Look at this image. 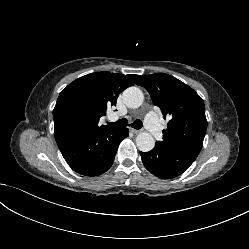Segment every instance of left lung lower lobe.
Listing matches in <instances>:
<instances>
[{"label": "left lung lower lobe", "mask_w": 249, "mask_h": 249, "mask_svg": "<svg viewBox=\"0 0 249 249\" xmlns=\"http://www.w3.org/2000/svg\"><path fill=\"white\" fill-rule=\"evenodd\" d=\"M145 168L155 176L171 179L181 175L197 158L198 154L182 149L156 146L149 152H140Z\"/></svg>", "instance_id": "left-lung-lower-lobe-1"}]
</instances>
